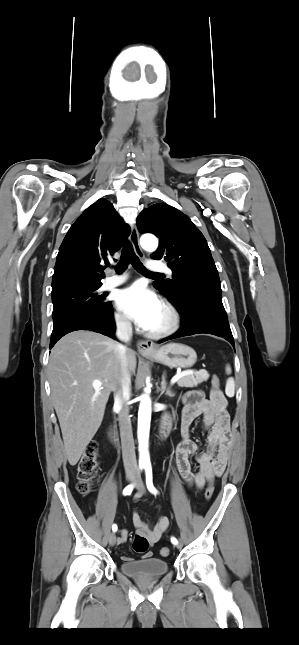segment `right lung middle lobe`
I'll return each mask as SVG.
<instances>
[{"label": "right lung middle lobe", "instance_id": "right-lung-middle-lobe-1", "mask_svg": "<svg viewBox=\"0 0 299 645\" xmlns=\"http://www.w3.org/2000/svg\"><path fill=\"white\" fill-rule=\"evenodd\" d=\"M100 286L77 284L52 292L54 327L79 313L106 310L111 302L98 295Z\"/></svg>", "mask_w": 299, "mask_h": 645}]
</instances>
